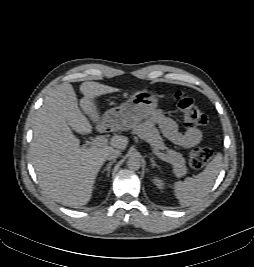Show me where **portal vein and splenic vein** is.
Listing matches in <instances>:
<instances>
[{
	"mask_svg": "<svg viewBox=\"0 0 254 267\" xmlns=\"http://www.w3.org/2000/svg\"><path fill=\"white\" fill-rule=\"evenodd\" d=\"M108 143V140L102 136H98L96 137L95 139H93V141L91 142L92 145H95V146H103V145H106ZM153 153L160 159H162L163 161H166L168 160L167 156L162 153V152H159L157 150H153Z\"/></svg>",
	"mask_w": 254,
	"mask_h": 267,
	"instance_id": "portal-vein-and-splenic-vein-1",
	"label": "portal vein and splenic vein"
}]
</instances>
